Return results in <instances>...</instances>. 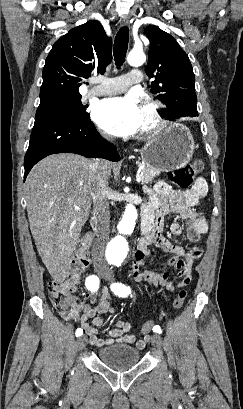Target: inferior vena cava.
<instances>
[{
  "instance_id": "obj_1",
  "label": "inferior vena cava",
  "mask_w": 243,
  "mask_h": 409,
  "mask_svg": "<svg viewBox=\"0 0 243 409\" xmlns=\"http://www.w3.org/2000/svg\"><path fill=\"white\" fill-rule=\"evenodd\" d=\"M89 188L98 223L96 238L92 246V257L96 267L107 270L105 247L109 240L110 211L108 195L110 189L108 175L102 163L98 160L90 163Z\"/></svg>"
}]
</instances>
